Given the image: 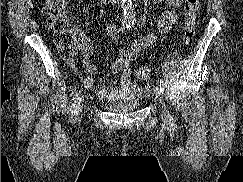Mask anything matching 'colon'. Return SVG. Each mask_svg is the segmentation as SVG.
<instances>
[{
    "instance_id": "5ec220e1",
    "label": "colon",
    "mask_w": 243,
    "mask_h": 182,
    "mask_svg": "<svg viewBox=\"0 0 243 182\" xmlns=\"http://www.w3.org/2000/svg\"><path fill=\"white\" fill-rule=\"evenodd\" d=\"M201 0H184L185 23L183 27V43L188 44L196 32L197 13ZM43 12L49 28L53 32V39L60 55L66 60H72L76 43L75 36L69 28L67 16V0H46ZM138 79L146 81L151 77V70L147 67L136 71Z\"/></svg>"
}]
</instances>
